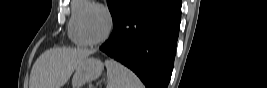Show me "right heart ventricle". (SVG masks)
<instances>
[{
	"label": "right heart ventricle",
	"instance_id": "obj_1",
	"mask_svg": "<svg viewBox=\"0 0 267 88\" xmlns=\"http://www.w3.org/2000/svg\"><path fill=\"white\" fill-rule=\"evenodd\" d=\"M93 4V2L87 0H73L71 2V15L68 22V36L75 45H86L79 34L78 21L81 14Z\"/></svg>",
	"mask_w": 267,
	"mask_h": 88
}]
</instances>
